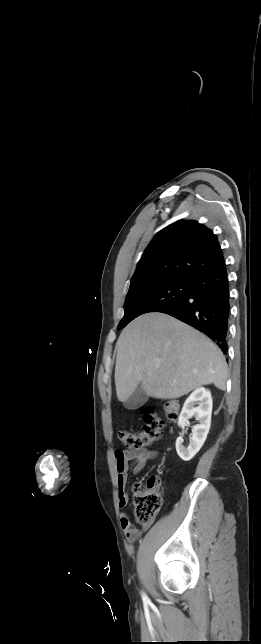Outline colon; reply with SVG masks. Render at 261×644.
<instances>
[{"label": "colon", "instance_id": "obj_1", "mask_svg": "<svg viewBox=\"0 0 261 644\" xmlns=\"http://www.w3.org/2000/svg\"><path fill=\"white\" fill-rule=\"evenodd\" d=\"M179 409L180 404L175 399L166 401L163 406L168 420H176ZM143 422L142 430L139 433L126 430L119 432L120 441L128 449H145L161 438L164 421L152 407L148 406L144 409ZM134 494V511L137 521L142 524L151 522L162 505L159 478L150 476L144 484L137 483L134 487Z\"/></svg>", "mask_w": 261, "mask_h": 644}]
</instances>
